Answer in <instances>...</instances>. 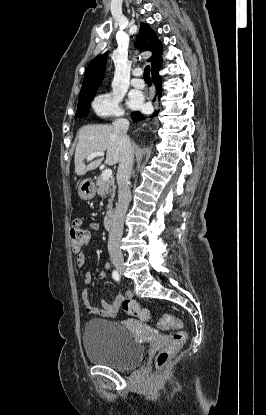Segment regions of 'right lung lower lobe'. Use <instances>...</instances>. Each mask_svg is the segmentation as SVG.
Segmentation results:
<instances>
[{
    "label": "right lung lower lobe",
    "mask_w": 266,
    "mask_h": 415,
    "mask_svg": "<svg viewBox=\"0 0 266 415\" xmlns=\"http://www.w3.org/2000/svg\"><path fill=\"white\" fill-rule=\"evenodd\" d=\"M152 80H153V83L156 86V90H157V92L160 96L161 95L162 84H161V77L159 75V70L152 74ZM157 113L158 112L155 111L154 114L151 117L156 116ZM131 115H132V119H133L134 122H138V121L143 120V119L146 118L140 112H134Z\"/></svg>",
    "instance_id": "98d812e1"
}]
</instances>
